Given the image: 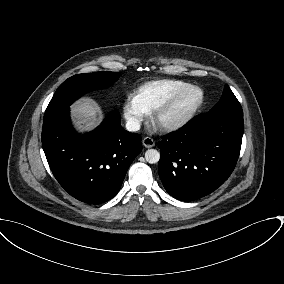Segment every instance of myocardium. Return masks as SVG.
<instances>
[{
  "mask_svg": "<svg viewBox=\"0 0 284 284\" xmlns=\"http://www.w3.org/2000/svg\"><path fill=\"white\" fill-rule=\"evenodd\" d=\"M191 91H198L199 100L188 111L173 115L172 111L181 99ZM205 101L204 90L197 85H189L171 96L166 102L159 106L152 114V123L161 131H176L187 125L198 111L202 108Z\"/></svg>",
  "mask_w": 284,
  "mask_h": 284,
  "instance_id": "f54148a6",
  "label": "myocardium"
}]
</instances>
